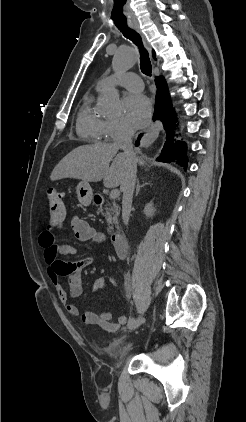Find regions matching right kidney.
Returning <instances> with one entry per match:
<instances>
[{
    "instance_id": "ca27d5eb",
    "label": "right kidney",
    "mask_w": 246,
    "mask_h": 422,
    "mask_svg": "<svg viewBox=\"0 0 246 422\" xmlns=\"http://www.w3.org/2000/svg\"><path fill=\"white\" fill-rule=\"evenodd\" d=\"M155 208L153 206V202H149L145 205L144 207V214L146 215V217L150 218L153 217L155 214Z\"/></svg>"
}]
</instances>
